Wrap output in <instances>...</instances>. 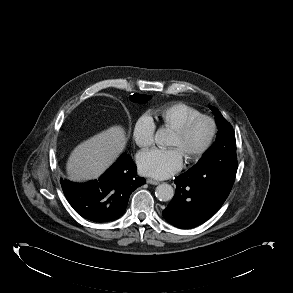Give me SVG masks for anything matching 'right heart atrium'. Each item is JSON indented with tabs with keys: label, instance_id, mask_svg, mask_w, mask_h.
<instances>
[{
	"label": "right heart atrium",
	"instance_id": "right-heart-atrium-1",
	"mask_svg": "<svg viewBox=\"0 0 293 293\" xmlns=\"http://www.w3.org/2000/svg\"><path fill=\"white\" fill-rule=\"evenodd\" d=\"M156 124L151 115L144 113L134 122L132 134L135 143L140 148H147L154 142Z\"/></svg>",
	"mask_w": 293,
	"mask_h": 293
}]
</instances>
